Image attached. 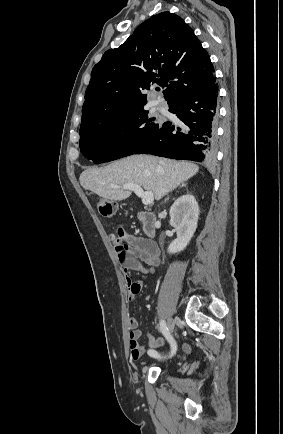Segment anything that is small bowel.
<instances>
[{"label": "small bowel", "instance_id": "small-bowel-1", "mask_svg": "<svg viewBox=\"0 0 283 434\" xmlns=\"http://www.w3.org/2000/svg\"><path fill=\"white\" fill-rule=\"evenodd\" d=\"M110 241L114 244L115 253L121 263L122 268L129 274L131 271H137L145 275L154 273L155 268L160 264V252L158 246L145 238L129 235L121 228L117 233L110 234ZM145 265H144V264ZM128 295L130 300L138 294L143 286L142 280H132L129 275L126 277ZM129 325V346L131 358L137 360L141 358L146 349L140 346L139 339L143 336V332L138 328L136 318L130 317ZM148 340L150 349L160 348L164 345L162 337H154L149 333L145 334ZM148 349V350H150ZM185 351H189V346H184Z\"/></svg>", "mask_w": 283, "mask_h": 434}]
</instances>
